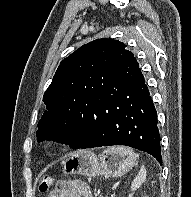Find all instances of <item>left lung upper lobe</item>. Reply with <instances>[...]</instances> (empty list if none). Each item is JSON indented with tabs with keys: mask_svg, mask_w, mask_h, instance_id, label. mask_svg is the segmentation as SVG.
Instances as JSON below:
<instances>
[{
	"mask_svg": "<svg viewBox=\"0 0 191 197\" xmlns=\"http://www.w3.org/2000/svg\"><path fill=\"white\" fill-rule=\"evenodd\" d=\"M140 71L133 53L120 41L102 38L81 46L61 61L44 93L38 141L66 143L78 118L93 112L105 93Z\"/></svg>",
	"mask_w": 191,
	"mask_h": 197,
	"instance_id": "1",
	"label": "left lung upper lobe"
}]
</instances>
